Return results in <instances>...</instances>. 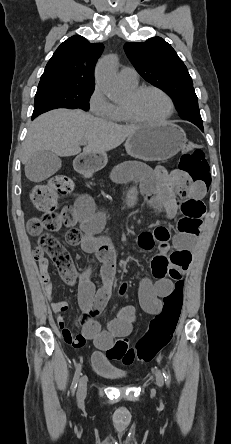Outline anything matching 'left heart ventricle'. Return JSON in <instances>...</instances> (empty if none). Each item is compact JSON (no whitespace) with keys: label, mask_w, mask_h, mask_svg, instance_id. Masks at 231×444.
<instances>
[{"label":"left heart ventricle","mask_w":231,"mask_h":444,"mask_svg":"<svg viewBox=\"0 0 231 444\" xmlns=\"http://www.w3.org/2000/svg\"><path fill=\"white\" fill-rule=\"evenodd\" d=\"M130 101L129 95L124 103ZM133 108L138 117L145 120H158L169 111V104L164 96L156 91H145L134 102Z\"/></svg>","instance_id":"left-heart-ventricle-1"}]
</instances>
